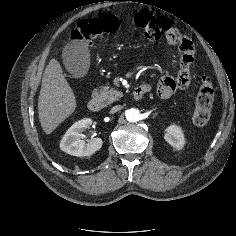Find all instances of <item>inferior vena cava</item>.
Segmentation results:
<instances>
[{
	"instance_id": "602c4592",
	"label": "inferior vena cava",
	"mask_w": 236,
	"mask_h": 236,
	"mask_svg": "<svg viewBox=\"0 0 236 236\" xmlns=\"http://www.w3.org/2000/svg\"><path fill=\"white\" fill-rule=\"evenodd\" d=\"M122 106L118 105V106H114L111 108L110 113H116L119 110H121Z\"/></svg>"
}]
</instances>
